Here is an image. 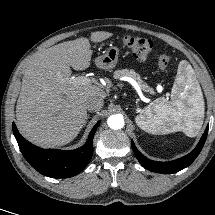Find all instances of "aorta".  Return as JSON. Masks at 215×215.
I'll use <instances>...</instances> for the list:
<instances>
[{
	"instance_id": "obj_1",
	"label": "aorta",
	"mask_w": 215,
	"mask_h": 215,
	"mask_svg": "<svg viewBox=\"0 0 215 215\" xmlns=\"http://www.w3.org/2000/svg\"><path fill=\"white\" fill-rule=\"evenodd\" d=\"M108 126L111 129L118 130L124 126V118L122 115H111L107 120Z\"/></svg>"
}]
</instances>
